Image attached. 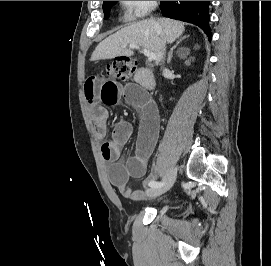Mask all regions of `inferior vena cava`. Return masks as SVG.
I'll return each mask as SVG.
<instances>
[{
	"label": "inferior vena cava",
	"mask_w": 271,
	"mask_h": 266,
	"mask_svg": "<svg viewBox=\"0 0 271 266\" xmlns=\"http://www.w3.org/2000/svg\"><path fill=\"white\" fill-rule=\"evenodd\" d=\"M165 45H166V42H165V41H163V42H162L163 55H164V52H165V50H166ZM165 71H166V70H165V69H163V72H165Z\"/></svg>",
	"instance_id": "602c4592"
}]
</instances>
